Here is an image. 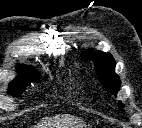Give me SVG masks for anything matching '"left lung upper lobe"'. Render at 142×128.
Listing matches in <instances>:
<instances>
[{
  "label": "left lung upper lobe",
  "instance_id": "1",
  "mask_svg": "<svg viewBox=\"0 0 142 128\" xmlns=\"http://www.w3.org/2000/svg\"><path fill=\"white\" fill-rule=\"evenodd\" d=\"M82 55L86 59L94 62L98 80L105 86L108 92L116 95L120 88V80L114 72L115 61L111 54L95 51L85 52ZM119 107H122L121 103H119Z\"/></svg>",
  "mask_w": 142,
  "mask_h": 128
}]
</instances>
